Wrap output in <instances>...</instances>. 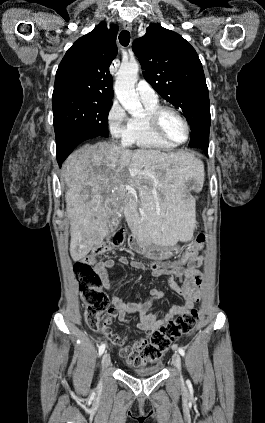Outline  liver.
Listing matches in <instances>:
<instances>
[{"label":"liver","instance_id":"liver-1","mask_svg":"<svg viewBox=\"0 0 265 423\" xmlns=\"http://www.w3.org/2000/svg\"><path fill=\"white\" fill-rule=\"evenodd\" d=\"M70 218V255L87 256L109 234L110 218L123 213L137 240L158 246L188 242L196 227L186 183L204 181V167L185 151L130 150L114 143L86 144L64 162ZM131 185L135 190H127ZM140 212L136 213L137 203Z\"/></svg>","mask_w":265,"mask_h":423}]
</instances>
